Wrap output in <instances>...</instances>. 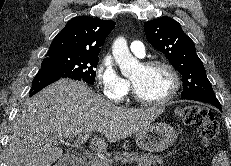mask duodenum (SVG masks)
I'll use <instances>...</instances> for the list:
<instances>
[{"instance_id": "1", "label": "duodenum", "mask_w": 231, "mask_h": 166, "mask_svg": "<svg viewBox=\"0 0 231 166\" xmlns=\"http://www.w3.org/2000/svg\"><path fill=\"white\" fill-rule=\"evenodd\" d=\"M61 164L62 166H86V159L82 155L69 154Z\"/></svg>"}]
</instances>
